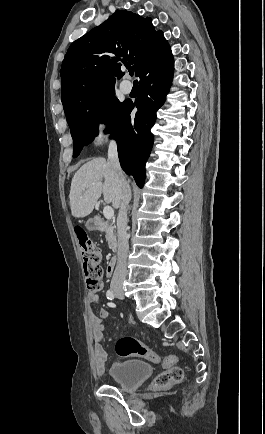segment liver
Masks as SVG:
<instances>
[{
	"label": "liver",
	"mask_w": 265,
	"mask_h": 434,
	"mask_svg": "<svg viewBox=\"0 0 265 434\" xmlns=\"http://www.w3.org/2000/svg\"><path fill=\"white\" fill-rule=\"evenodd\" d=\"M101 194L106 204L119 208L122 188L118 172L105 158H95L81 166L71 182L69 198L72 216H89Z\"/></svg>",
	"instance_id": "obj_1"
}]
</instances>
